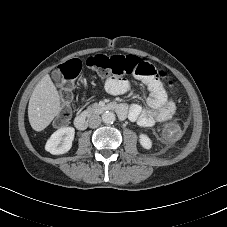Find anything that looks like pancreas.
<instances>
[{
	"mask_svg": "<svg viewBox=\"0 0 227 227\" xmlns=\"http://www.w3.org/2000/svg\"><path fill=\"white\" fill-rule=\"evenodd\" d=\"M98 106H99V105L95 103V104H93L90 108L94 110V109H96Z\"/></svg>",
	"mask_w": 227,
	"mask_h": 227,
	"instance_id": "cf45deb5",
	"label": "pancreas"
}]
</instances>
